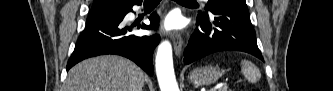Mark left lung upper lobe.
Instances as JSON below:
<instances>
[{"instance_id":"obj_1","label":"left lung upper lobe","mask_w":333,"mask_h":91,"mask_svg":"<svg viewBox=\"0 0 333 91\" xmlns=\"http://www.w3.org/2000/svg\"><path fill=\"white\" fill-rule=\"evenodd\" d=\"M225 1H238V0H208V3H207V5H206L205 9H206V10H209V8H210L213 4L218 3V2H225ZM243 1H245V0H243ZM200 13H202V12L200 11Z\"/></svg>"}]
</instances>
